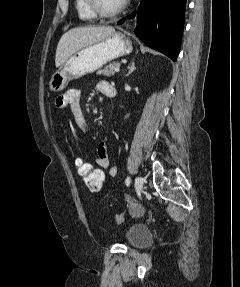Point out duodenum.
<instances>
[{
	"instance_id": "duodenum-1",
	"label": "duodenum",
	"mask_w": 240,
	"mask_h": 287,
	"mask_svg": "<svg viewBox=\"0 0 240 287\" xmlns=\"http://www.w3.org/2000/svg\"><path fill=\"white\" fill-rule=\"evenodd\" d=\"M116 96V91H112L110 94H109V97H115Z\"/></svg>"
}]
</instances>
